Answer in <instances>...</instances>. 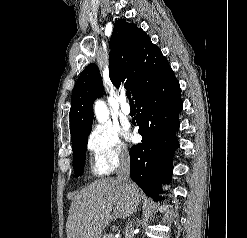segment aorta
<instances>
[{"instance_id":"762f6f07","label":"aorta","mask_w":247,"mask_h":238,"mask_svg":"<svg viewBox=\"0 0 247 238\" xmlns=\"http://www.w3.org/2000/svg\"><path fill=\"white\" fill-rule=\"evenodd\" d=\"M94 112H95V116H96L97 120L100 123H104L105 121H107L109 114H108L106 104L103 101L98 100L95 103Z\"/></svg>"}]
</instances>
